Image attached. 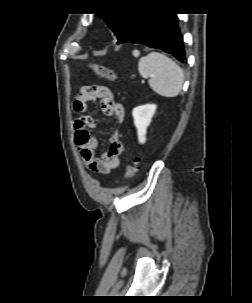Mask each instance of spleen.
I'll return each instance as SVG.
<instances>
[{"label": "spleen", "mask_w": 252, "mask_h": 303, "mask_svg": "<svg viewBox=\"0 0 252 303\" xmlns=\"http://www.w3.org/2000/svg\"><path fill=\"white\" fill-rule=\"evenodd\" d=\"M138 71L143 78H150L152 90L163 97H176L181 91L183 70L164 54L151 52L140 58Z\"/></svg>", "instance_id": "spleen-1"}]
</instances>
